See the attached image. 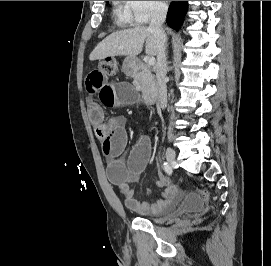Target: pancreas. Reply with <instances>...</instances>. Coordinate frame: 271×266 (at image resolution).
I'll return each mask as SVG.
<instances>
[{
    "instance_id": "cf45deb5",
    "label": "pancreas",
    "mask_w": 271,
    "mask_h": 266,
    "mask_svg": "<svg viewBox=\"0 0 271 266\" xmlns=\"http://www.w3.org/2000/svg\"><path fill=\"white\" fill-rule=\"evenodd\" d=\"M133 84L138 90H142V83L139 80H134Z\"/></svg>"
}]
</instances>
